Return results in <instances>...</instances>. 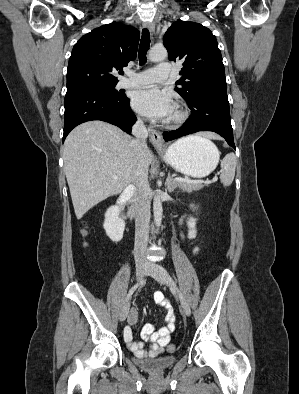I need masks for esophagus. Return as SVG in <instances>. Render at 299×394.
Returning <instances> with one entry per match:
<instances>
[{"instance_id": "1", "label": "esophagus", "mask_w": 299, "mask_h": 394, "mask_svg": "<svg viewBox=\"0 0 299 394\" xmlns=\"http://www.w3.org/2000/svg\"><path fill=\"white\" fill-rule=\"evenodd\" d=\"M143 26L145 28H147L151 33H154L155 28H154L153 23L145 22L143 24ZM149 134H150V140H151L154 147H156V148H163L164 147L162 135L159 131H157L155 129H149Z\"/></svg>"}]
</instances>
